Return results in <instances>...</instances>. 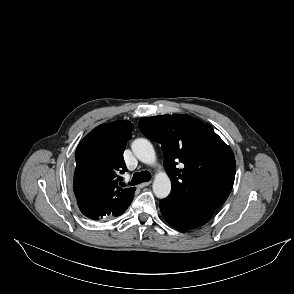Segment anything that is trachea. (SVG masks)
Returning a JSON list of instances; mask_svg holds the SVG:
<instances>
[{
  "label": "trachea",
  "instance_id": "trachea-1",
  "mask_svg": "<svg viewBox=\"0 0 294 294\" xmlns=\"http://www.w3.org/2000/svg\"><path fill=\"white\" fill-rule=\"evenodd\" d=\"M149 180H151L150 172H148V171L136 172L133 175L131 184L132 185H137V184H140L142 182H148Z\"/></svg>",
  "mask_w": 294,
  "mask_h": 294
}]
</instances>
